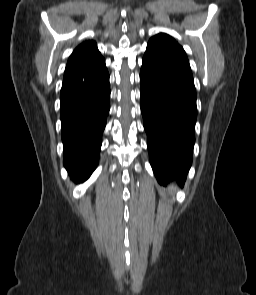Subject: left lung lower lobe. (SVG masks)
Segmentation results:
<instances>
[{
	"mask_svg": "<svg viewBox=\"0 0 256 295\" xmlns=\"http://www.w3.org/2000/svg\"><path fill=\"white\" fill-rule=\"evenodd\" d=\"M140 96L149 159L161 184L183 183L192 164L197 118L194 83L142 64Z\"/></svg>",
	"mask_w": 256,
	"mask_h": 295,
	"instance_id": "left-lung-lower-lobe-1",
	"label": "left lung lower lobe"
}]
</instances>
